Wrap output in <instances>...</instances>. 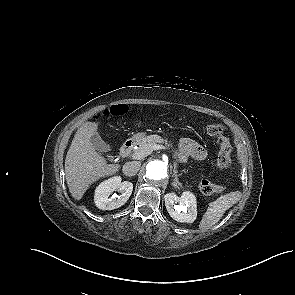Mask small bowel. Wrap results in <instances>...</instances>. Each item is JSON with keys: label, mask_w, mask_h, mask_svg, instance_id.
I'll return each mask as SVG.
<instances>
[{"label": "small bowel", "mask_w": 295, "mask_h": 295, "mask_svg": "<svg viewBox=\"0 0 295 295\" xmlns=\"http://www.w3.org/2000/svg\"><path fill=\"white\" fill-rule=\"evenodd\" d=\"M178 151L179 158L182 162H185L189 158L201 161L204 160L207 156L204 148L195 140L189 137H183L180 139Z\"/></svg>", "instance_id": "1"}]
</instances>
